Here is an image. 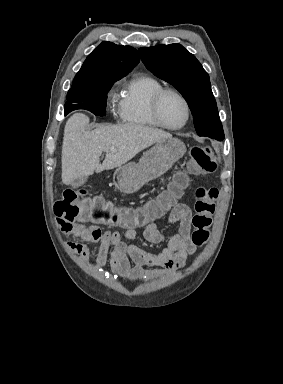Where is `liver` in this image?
Segmentation results:
<instances>
[{"mask_svg": "<svg viewBox=\"0 0 283 384\" xmlns=\"http://www.w3.org/2000/svg\"><path fill=\"white\" fill-rule=\"evenodd\" d=\"M88 124L89 118L85 114H73L66 122L61 158L63 184L92 176L94 172L119 168L141 150L166 138H172L164 130L141 124L103 126L86 132ZM111 148L117 152H111ZM102 152L107 154L103 164H100Z\"/></svg>", "mask_w": 283, "mask_h": 384, "instance_id": "liver-1", "label": "liver"}]
</instances>
